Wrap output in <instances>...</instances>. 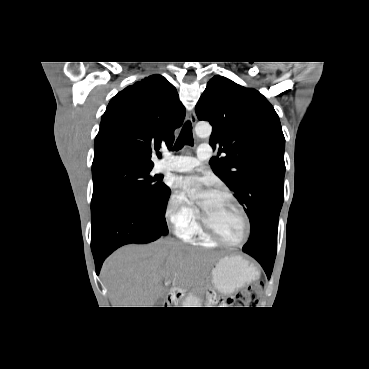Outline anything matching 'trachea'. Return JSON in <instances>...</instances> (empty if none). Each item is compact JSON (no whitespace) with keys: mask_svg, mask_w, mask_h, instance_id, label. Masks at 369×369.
Wrapping results in <instances>:
<instances>
[{"mask_svg":"<svg viewBox=\"0 0 369 369\" xmlns=\"http://www.w3.org/2000/svg\"><path fill=\"white\" fill-rule=\"evenodd\" d=\"M184 145H193V134H192V125L190 121H187L176 140L174 149L180 150Z\"/></svg>","mask_w":369,"mask_h":369,"instance_id":"1","label":"trachea"}]
</instances>
